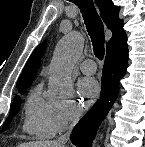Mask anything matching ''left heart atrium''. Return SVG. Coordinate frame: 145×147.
<instances>
[{"instance_id":"obj_1","label":"left heart atrium","mask_w":145,"mask_h":147,"mask_svg":"<svg viewBox=\"0 0 145 147\" xmlns=\"http://www.w3.org/2000/svg\"><path fill=\"white\" fill-rule=\"evenodd\" d=\"M78 93L86 106L91 105L100 95V85L93 78H84L78 83Z\"/></svg>"}]
</instances>
